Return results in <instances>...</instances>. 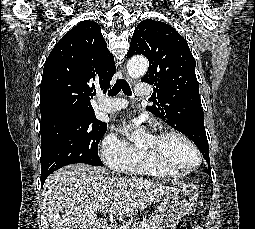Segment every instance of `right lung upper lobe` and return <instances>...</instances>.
<instances>
[{"mask_svg": "<svg viewBox=\"0 0 255 229\" xmlns=\"http://www.w3.org/2000/svg\"><path fill=\"white\" fill-rule=\"evenodd\" d=\"M116 73L100 26L77 24L54 46L43 70L40 86L41 119L54 115L94 114L90 103L96 89L104 92Z\"/></svg>", "mask_w": 255, "mask_h": 229, "instance_id": "obj_1", "label": "right lung upper lobe"}]
</instances>
